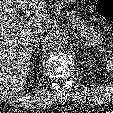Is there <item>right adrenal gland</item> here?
Listing matches in <instances>:
<instances>
[{
  "label": "right adrenal gland",
  "instance_id": "2a0ac1e0",
  "mask_svg": "<svg viewBox=\"0 0 113 113\" xmlns=\"http://www.w3.org/2000/svg\"><path fill=\"white\" fill-rule=\"evenodd\" d=\"M39 41H40V38L37 37L36 40H35V43H34V45H33V51H35V49H37L38 44H39Z\"/></svg>",
  "mask_w": 113,
  "mask_h": 113
}]
</instances>
